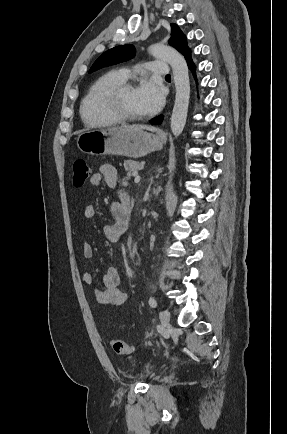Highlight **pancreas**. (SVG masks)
<instances>
[{"instance_id": "cf45deb5", "label": "pancreas", "mask_w": 287, "mask_h": 434, "mask_svg": "<svg viewBox=\"0 0 287 434\" xmlns=\"http://www.w3.org/2000/svg\"><path fill=\"white\" fill-rule=\"evenodd\" d=\"M124 168L127 172V176L131 177L143 168V164L133 160L124 161Z\"/></svg>"}]
</instances>
